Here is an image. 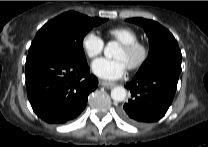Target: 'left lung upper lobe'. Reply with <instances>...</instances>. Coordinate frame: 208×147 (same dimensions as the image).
<instances>
[{
  "mask_svg": "<svg viewBox=\"0 0 208 147\" xmlns=\"http://www.w3.org/2000/svg\"><path fill=\"white\" fill-rule=\"evenodd\" d=\"M127 21L143 27L149 38V55L137 72V76L159 68H170L178 73L181 72V51L174 36L165 27L153 20L143 18H130Z\"/></svg>",
  "mask_w": 208,
  "mask_h": 147,
  "instance_id": "1",
  "label": "left lung upper lobe"
}]
</instances>
